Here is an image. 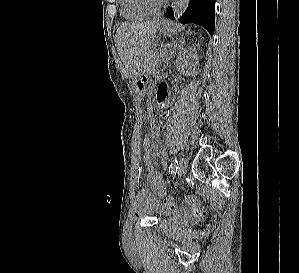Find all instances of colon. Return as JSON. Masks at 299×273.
Returning <instances> with one entry per match:
<instances>
[{"mask_svg": "<svg viewBox=\"0 0 299 273\" xmlns=\"http://www.w3.org/2000/svg\"><path fill=\"white\" fill-rule=\"evenodd\" d=\"M152 143V138L150 134H146L143 138V148L150 146ZM175 198L173 196H168L163 200L164 205L166 206H172L175 204L174 202ZM186 202L190 205L192 215L195 218L200 219L202 217V213L200 211L199 205H198V200L194 196H186L185 197Z\"/></svg>", "mask_w": 299, "mask_h": 273, "instance_id": "obj_1", "label": "colon"}]
</instances>
